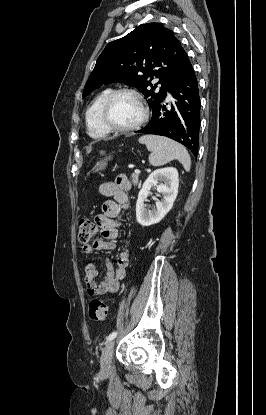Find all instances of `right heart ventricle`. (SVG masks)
Wrapping results in <instances>:
<instances>
[{"mask_svg":"<svg viewBox=\"0 0 266 415\" xmlns=\"http://www.w3.org/2000/svg\"><path fill=\"white\" fill-rule=\"evenodd\" d=\"M112 92L110 88H106L99 92L86 110V126L88 134L94 139H102L110 134V131L104 126L101 120L102 106Z\"/></svg>","mask_w":266,"mask_h":415,"instance_id":"e07e8e85","label":"right heart ventricle"}]
</instances>
